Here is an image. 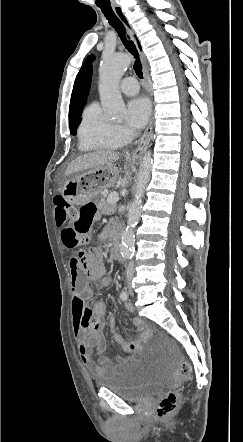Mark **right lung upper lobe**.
<instances>
[{"mask_svg": "<svg viewBox=\"0 0 243 442\" xmlns=\"http://www.w3.org/2000/svg\"><path fill=\"white\" fill-rule=\"evenodd\" d=\"M91 74V65L85 63L76 77L69 108V125L81 121L80 115L90 88Z\"/></svg>", "mask_w": 243, "mask_h": 442, "instance_id": "1", "label": "right lung upper lobe"}]
</instances>
